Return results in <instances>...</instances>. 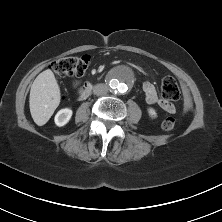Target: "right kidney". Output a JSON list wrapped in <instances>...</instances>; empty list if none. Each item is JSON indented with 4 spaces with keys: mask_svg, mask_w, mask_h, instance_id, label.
<instances>
[{
    "mask_svg": "<svg viewBox=\"0 0 222 222\" xmlns=\"http://www.w3.org/2000/svg\"><path fill=\"white\" fill-rule=\"evenodd\" d=\"M72 110L70 108H64L57 112L54 121L59 127L66 125L72 117Z\"/></svg>",
    "mask_w": 222,
    "mask_h": 222,
    "instance_id": "1",
    "label": "right kidney"
}]
</instances>
